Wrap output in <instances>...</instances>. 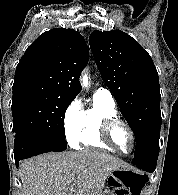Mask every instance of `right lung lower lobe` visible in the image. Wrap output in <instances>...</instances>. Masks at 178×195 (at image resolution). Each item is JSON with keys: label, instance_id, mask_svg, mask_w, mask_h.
Listing matches in <instances>:
<instances>
[{"label": "right lung lower lobe", "instance_id": "obj_1", "mask_svg": "<svg viewBox=\"0 0 178 195\" xmlns=\"http://www.w3.org/2000/svg\"><path fill=\"white\" fill-rule=\"evenodd\" d=\"M67 149V142L59 138H23L14 140V158L16 166L22 159L46 152H60Z\"/></svg>", "mask_w": 178, "mask_h": 195}]
</instances>
